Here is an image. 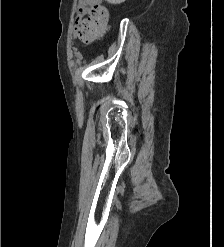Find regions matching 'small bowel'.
Masks as SVG:
<instances>
[{"instance_id":"c3829d8e","label":"small bowel","mask_w":224,"mask_h":247,"mask_svg":"<svg viewBox=\"0 0 224 247\" xmlns=\"http://www.w3.org/2000/svg\"><path fill=\"white\" fill-rule=\"evenodd\" d=\"M101 0H78L77 15L75 18V34L80 37L81 27L85 21L84 17L89 15L90 10L99 6Z\"/></svg>"}]
</instances>
